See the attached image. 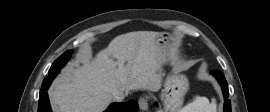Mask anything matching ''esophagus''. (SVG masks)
<instances>
[{"label": "esophagus", "mask_w": 270, "mask_h": 112, "mask_svg": "<svg viewBox=\"0 0 270 112\" xmlns=\"http://www.w3.org/2000/svg\"><path fill=\"white\" fill-rule=\"evenodd\" d=\"M138 104L141 110H147L149 107L148 99L145 97H141L138 101Z\"/></svg>", "instance_id": "1"}]
</instances>
